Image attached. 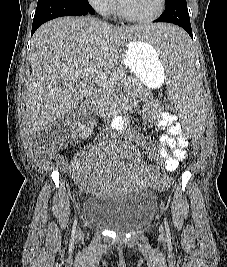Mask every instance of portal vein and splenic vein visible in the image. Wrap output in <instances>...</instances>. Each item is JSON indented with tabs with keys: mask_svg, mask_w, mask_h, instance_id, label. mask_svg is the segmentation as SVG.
Returning a JSON list of instances; mask_svg holds the SVG:
<instances>
[{
	"mask_svg": "<svg viewBox=\"0 0 227 267\" xmlns=\"http://www.w3.org/2000/svg\"><path fill=\"white\" fill-rule=\"evenodd\" d=\"M70 75H73L76 78L79 77H88L93 79L98 85L106 86L113 77H109L103 72H99L93 68L79 69L75 71H70Z\"/></svg>",
	"mask_w": 227,
	"mask_h": 267,
	"instance_id": "18ae733b",
	"label": "portal vein and splenic vein"
}]
</instances>
